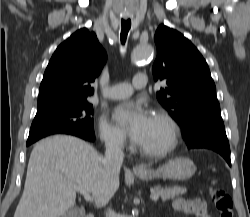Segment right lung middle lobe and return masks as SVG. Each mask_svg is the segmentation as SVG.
<instances>
[{
    "label": "right lung middle lobe",
    "instance_id": "1",
    "mask_svg": "<svg viewBox=\"0 0 250 217\" xmlns=\"http://www.w3.org/2000/svg\"><path fill=\"white\" fill-rule=\"evenodd\" d=\"M93 106L87 100L37 110L27 145L53 134H70L94 141Z\"/></svg>",
    "mask_w": 250,
    "mask_h": 217
}]
</instances>
